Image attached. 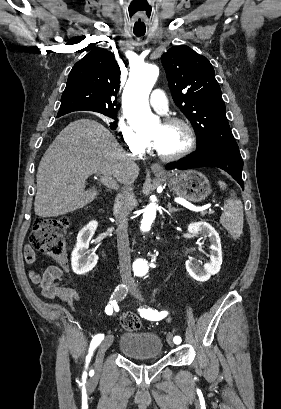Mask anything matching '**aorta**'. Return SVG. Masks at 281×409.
<instances>
[{"label": "aorta", "mask_w": 281, "mask_h": 409, "mask_svg": "<svg viewBox=\"0 0 281 409\" xmlns=\"http://www.w3.org/2000/svg\"><path fill=\"white\" fill-rule=\"evenodd\" d=\"M159 68L143 64L135 68L124 92V111L132 128L137 132H149L159 125V119L149 107V94L158 78ZM157 205L151 202L143 213L141 229H150L155 219Z\"/></svg>", "instance_id": "aorta-1"}]
</instances>
